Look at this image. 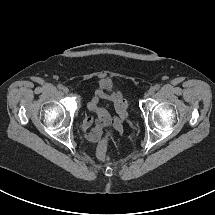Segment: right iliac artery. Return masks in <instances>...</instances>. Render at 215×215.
Segmentation results:
<instances>
[{
  "label": "right iliac artery",
  "instance_id": "right-iliac-artery-1",
  "mask_svg": "<svg viewBox=\"0 0 215 215\" xmlns=\"http://www.w3.org/2000/svg\"><path fill=\"white\" fill-rule=\"evenodd\" d=\"M57 87H58V89H63V85L62 84H59Z\"/></svg>",
  "mask_w": 215,
  "mask_h": 215
}]
</instances>
